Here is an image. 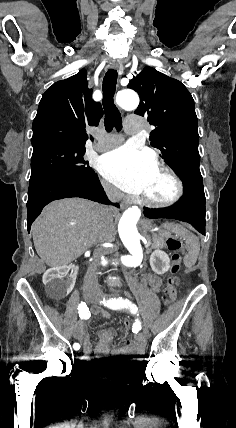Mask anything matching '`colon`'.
I'll return each instance as SVG.
<instances>
[{"label":"colon","mask_w":236,"mask_h":428,"mask_svg":"<svg viewBox=\"0 0 236 428\" xmlns=\"http://www.w3.org/2000/svg\"><path fill=\"white\" fill-rule=\"evenodd\" d=\"M166 245L167 248L174 253L172 256V275L167 281L164 296L165 305H169L176 300V287L180 283V279L177 276V273L180 271L181 268V257L179 255V251L182 249V242L177 237L170 236L166 240ZM124 324L126 328L131 327V323L128 320L125 321Z\"/></svg>","instance_id":"5ec220e1"}]
</instances>
